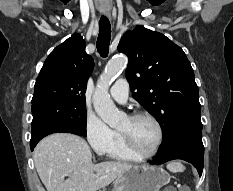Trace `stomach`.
<instances>
[{
  "label": "stomach",
  "instance_id": "1",
  "mask_svg": "<svg viewBox=\"0 0 233 191\" xmlns=\"http://www.w3.org/2000/svg\"><path fill=\"white\" fill-rule=\"evenodd\" d=\"M169 181L170 175L160 166H132L116 179L112 191H159Z\"/></svg>",
  "mask_w": 233,
  "mask_h": 191
}]
</instances>
